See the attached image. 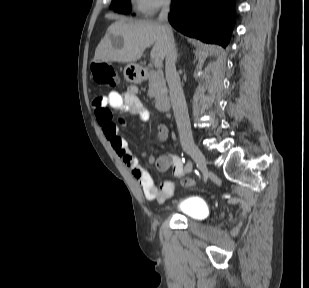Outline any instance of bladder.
Returning a JSON list of instances; mask_svg holds the SVG:
<instances>
[{
    "label": "bladder",
    "mask_w": 309,
    "mask_h": 288,
    "mask_svg": "<svg viewBox=\"0 0 309 288\" xmlns=\"http://www.w3.org/2000/svg\"><path fill=\"white\" fill-rule=\"evenodd\" d=\"M176 211L190 218L201 220L208 212V204L201 197L189 196L177 204Z\"/></svg>",
    "instance_id": "bladder-1"
}]
</instances>
